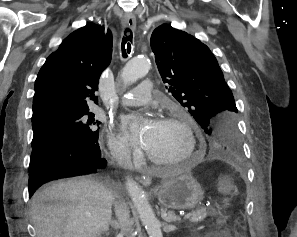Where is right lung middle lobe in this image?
Returning <instances> with one entry per match:
<instances>
[{
  "mask_svg": "<svg viewBox=\"0 0 297 237\" xmlns=\"http://www.w3.org/2000/svg\"><path fill=\"white\" fill-rule=\"evenodd\" d=\"M99 123L89 112L59 111L50 113L32 121L33 141L51 131H64L83 142H95L98 140L99 130H95L93 126Z\"/></svg>",
  "mask_w": 297,
  "mask_h": 237,
  "instance_id": "obj_1",
  "label": "right lung middle lobe"
}]
</instances>
